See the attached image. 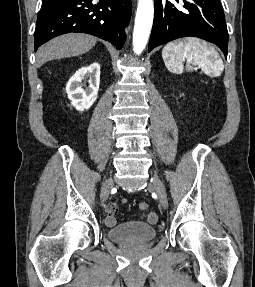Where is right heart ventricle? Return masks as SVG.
Here are the masks:
<instances>
[{
	"mask_svg": "<svg viewBox=\"0 0 255 287\" xmlns=\"http://www.w3.org/2000/svg\"><path fill=\"white\" fill-rule=\"evenodd\" d=\"M102 48H119V47H102Z\"/></svg>",
	"mask_w": 255,
	"mask_h": 287,
	"instance_id": "e07e8e85",
	"label": "right heart ventricle"
}]
</instances>
